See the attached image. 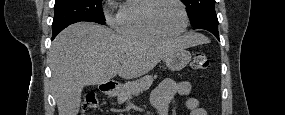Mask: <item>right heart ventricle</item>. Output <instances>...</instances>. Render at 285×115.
I'll use <instances>...</instances> for the list:
<instances>
[{"instance_id": "1", "label": "right heart ventricle", "mask_w": 285, "mask_h": 115, "mask_svg": "<svg viewBox=\"0 0 285 115\" xmlns=\"http://www.w3.org/2000/svg\"><path fill=\"white\" fill-rule=\"evenodd\" d=\"M153 0H129L123 3L115 18L118 30L126 36L158 39L163 35L155 31L147 19Z\"/></svg>"}]
</instances>
